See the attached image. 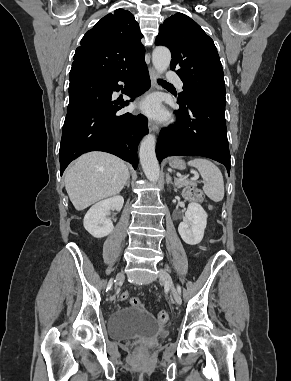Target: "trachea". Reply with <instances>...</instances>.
<instances>
[{
  "label": "trachea",
  "mask_w": 291,
  "mask_h": 381,
  "mask_svg": "<svg viewBox=\"0 0 291 381\" xmlns=\"http://www.w3.org/2000/svg\"><path fill=\"white\" fill-rule=\"evenodd\" d=\"M158 83H160V84H168V82H166L165 80H162V79H158Z\"/></svg>",
  "instance_id": "3493384b"
}]
</instances>
